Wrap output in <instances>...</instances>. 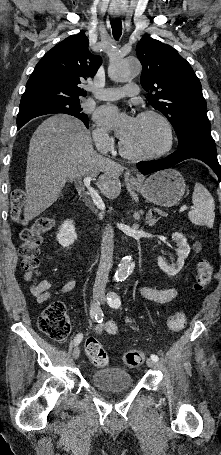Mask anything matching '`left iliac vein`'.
<instances>
[{"label": "left iliac vein", "mask_w": 221, "mask_h": 455, "mask_svg": "<svg viewBox=\"0 0 221 455\" xmlns=\"http://www.w3.org/2000/svg\"><path fill=\"white\" fill-rule=\"evenodd\" d=\"M102 302H104V300H102ZM146 364L150 368H154L157 365L156 361H154L152 359H147Z\"/></svg>", "instance_id": "4c4485c4"}]
</instances>
